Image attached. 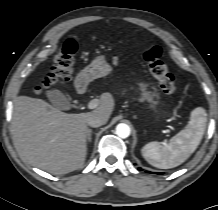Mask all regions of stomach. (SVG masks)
<instances>
[{
  "label": "stomach",
  "mask_w": 218,
  "mask_h": 210,
  "mask_svg": "<svg viewBox=\"0 0 218 210\" xmlns=\"http://www.w3.org/2000/svg\"><path fill=\"white\" fill-rule=\"evenodd\" d=\"M112 71L105 56H99L85 67L76 77L74 84L77 90L83 89L90 81L104 77Z\"/></svg>",
  "instance_id": "stomach-1"
}]
</instances>
